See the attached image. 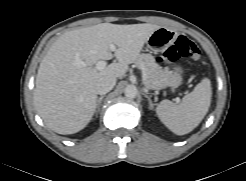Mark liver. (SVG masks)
Listing matches in <instances>:
<instances>
[{
	"label": "liver",
	"instance_id": "liver-1",
	"mask_svg": "<svg viewBox=\"0 0 246 181\" xmlns=\"http://www.w3.org/2000/svg\"><path fill=\"white\" fill-rule=\"evenodd\" d=\"M159 28L149 23H101L58 37L41 61L35 82L34 104L45 125L64 135L85 128L95 113L97 82L107 76L123 77ZM110 44L116 46L114 54ZM113 56L118 62L96 68L98 61Z\"/></svg>",
	"mask_w": 246,
	"mask_h": 181
}]
</instances>
